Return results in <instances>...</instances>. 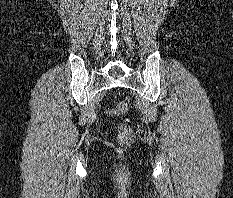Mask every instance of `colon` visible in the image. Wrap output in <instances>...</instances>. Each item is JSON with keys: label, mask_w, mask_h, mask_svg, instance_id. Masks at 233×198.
Masks as SVG:
<instances>
[{"label": "colon", "mask_w": 233, "mask_h": 198, "mask_svg": "<svg viewBox=\"0 0 233 198\" xmlns=\"http://www.w3.org/2000/svg\"><path fill=\"white\" fill-rule=\"evenodd\" d=\"M129 106L126 102H119L110 113L113 116L120 117L128 112ZM132 134V130L127 125H118L117 127V140L119 143H125Z\"/></svg>", "instance_id": "5ec220e1"}]
</instances>
